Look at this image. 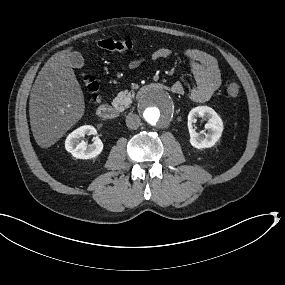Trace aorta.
I'll return each instance as SVG.
<instances>
[{
    "mask_svg": "<svg viewBox=\"0 0 285 285\" xmlns=\"http://www.w3.org/2000/svg\"><path fill=\"white\" fill-rule=\"evenodd\" d=\"M140 113L142 118L150 125H167L176 116V99L167 90H150L141 99Z\"/></svg>",
    "mask_w": 285,
    "mask_h": 285,
    "instance_id": "obj_1",
    "label": "aorta"
}]
</instances>
